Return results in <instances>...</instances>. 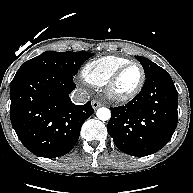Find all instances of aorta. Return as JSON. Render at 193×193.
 I'll return each mask as SVG.
<instances>
[{
  "mask_svg": "<svg viewBox=\"0 0 193 193\" xmlns=\"http://www.w3.org/2000/svg\"><path fill=\"white\" fill-rule=\"evenodd\" d=\"M97 118L102 121H107L111 117V112L108 108L101 107L96 112Z\"/></svg>",
  "mask_w": 193,
  "mask_h": 193,
  "instance_id": "762f6f07",
  "label": "aorta"
}]
</instances>
